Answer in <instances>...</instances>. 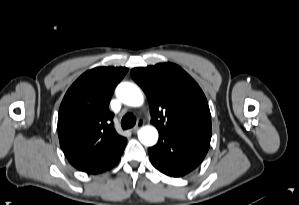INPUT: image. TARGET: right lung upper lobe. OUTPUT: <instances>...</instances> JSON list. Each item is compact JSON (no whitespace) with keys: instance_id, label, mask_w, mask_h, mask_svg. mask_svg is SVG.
I'll return each instance as SVG.
<instances>
[{"instance_id":"cb5924a9","label":"right lung upper lobe","mask_w":299,"mask_h":205,"mask_svg":"<svg viewBox=\"0 0 299 205\" xmlns=\"http://www.w3.org/2000/svg\"><path fill=\"white\" fill-rule=\"evenodd\" d=\"M127 68L97 67L81 75L68 89L58 114L60 146L78 170L98 174L121 157L126 138L113 127L109 102Z\"/></svg>"}]
</instances>
